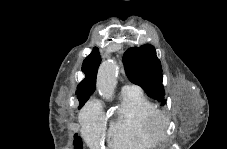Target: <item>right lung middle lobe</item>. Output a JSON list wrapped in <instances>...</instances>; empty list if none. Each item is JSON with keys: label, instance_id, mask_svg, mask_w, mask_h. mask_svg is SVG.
I'll return each mask as SVG.
<instances>
[{"label": "right lung middle lobe", "instance_id": "1", "mask_svg": "<svg viewBox=\"0 0 227 149\" xmlns=\"http://www.w3.org/2000/svg\"><path fill=\"white\" fill-rule=\"evenodd\" d=\"M82 106H83V105H81V106L79 107V109H80ZM74 144H75V148H76V149H81V148H82L81 138L75 136Z\"/></svg>", "mask_w": 227, "mask_h": 149}]
</instances>
